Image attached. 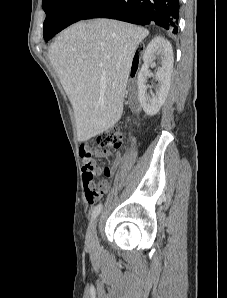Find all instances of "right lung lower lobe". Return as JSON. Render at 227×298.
<instances>
[{"label": "right lung lower lobe", "instance_id": "98d812e1", "mask_svg": "<svg viewBox=\"0 0 227 298\" xmlns=\"http://www.w3.org/2000/svg\"><path fill=\"white\" fill-rule=\"evenodd\" d=\"M100 17L139 25L155 23L176 34L179 0H101L82 19Z\"/></svg>", "mask_w": 227, "mask_h": 298}]
</instances>
